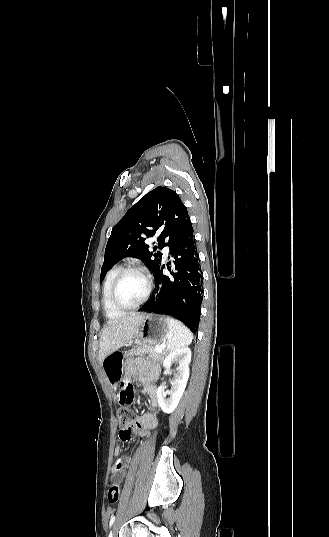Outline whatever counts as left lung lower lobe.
I'll list each match as a JSON object with an SVG mask.
<instances>
[{
	"mask_svg": "<svg viewBox=\"0 0 329 537\" xmlns=\"http://www.w3.org/2000/svg\"><path fill=\"white\" fill-rule=\"evenodd\" d=\"M170 254L176 271L166 276L162 274L164 265L162 269L158 266L153 273L154 293L141 311L172 315L195 333L200 320L202 276L191 222L170 248Z\"/></svg>",
	"mask_w": 329,
	"mask_h": 537,
	"instance_id": "left-lung-lower-lobe-1",
	"label": "left lung lower lobe"
}]
</instances>
